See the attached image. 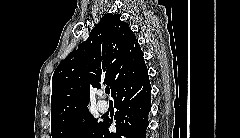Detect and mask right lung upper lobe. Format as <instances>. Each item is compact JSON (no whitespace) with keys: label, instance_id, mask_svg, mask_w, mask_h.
<instances>
[{"label":"right lung upper lobe","instance_id":"cb5924a9","mask_svg":"<svg viewBox=\"0 0 240 138\" xmlns=\"http://www.w3.org/2000/svg\"><path fill=\"white\" fill-rule=\"evenodd\" d=\"M147 74L143 53L128 23L105 14L86 41L56 68L52 77L51 121L56 124L87 110L90 89L104 83L112 96Z\"/></svg>","mask_w":240,"mask_h":138}]
</instances>
